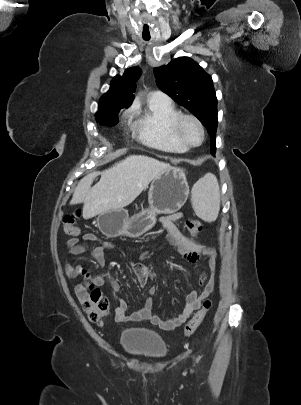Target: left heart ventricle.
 Wrapping results in <instances>:
<instances>
[{
    "label": "left heart ventricle",
    "mask_w": 301,
    "mask_h": 405,
    "mask_svg": "<svg viewBox=\"0 0 301 405\" xmlns=\"http://www.w3.org/2000/svg\"><path fill=\"white\" fill-rule=\"evenodd\" d=\"M183 134L191 144H198L201 141L200 129L193 121L187 120L184 122Z\"/></svg>",
    "instance_id": "obj_1"
}]
</instances>
